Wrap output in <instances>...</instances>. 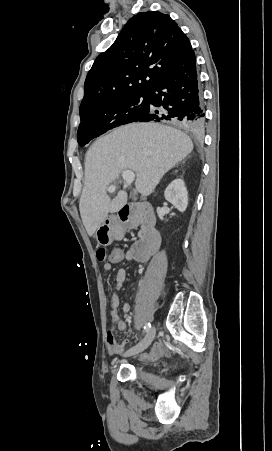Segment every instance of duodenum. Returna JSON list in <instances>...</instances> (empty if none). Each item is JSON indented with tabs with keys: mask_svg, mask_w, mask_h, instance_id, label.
<instances>
[{
	"mask_svg": "<svg viewBox=\"0 0 272 451\" xmlns=\"http://www.w3.org/2000/svg\"><path fill=\"white\" fill-rule=\"evenodd\" d=\"M118 225L112 227L111 236L119 239L126 229L141 225L143 236L129 251L132 259L147 261L159 248L161 237L155 228V217L149 204H126L119 210Z\"/></svg>",
	"mask_w": 272,
	"mask_h": 451,
	"instance_id": "duodenum-1",
	"label": "duodenum"
}]
</instances>
